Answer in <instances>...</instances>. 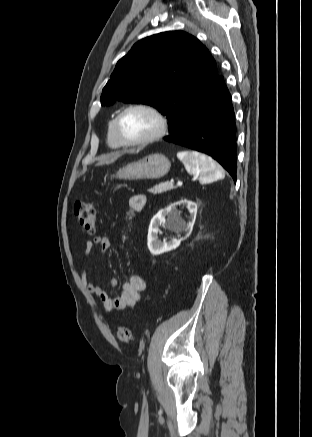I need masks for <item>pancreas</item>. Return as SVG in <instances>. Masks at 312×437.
Listing matches in <instances>:
<instances>
[{"label": "pancreas", "instance_id": "1", "mask_svg": "<svg viewBox=\"0 0 312 437\" xmlns=\"http://www.w3.org/2000/svg\"><path fill=\"white\" fill-rule=\"evenodd\" d=\"M174 188H175V186L172 183L165 182V183H161L159 185H156L153 188H150L148 191L150 193H153V194H160V193H163V192L170 191V190H172Z\"/></svg>", "mask_w": 312, "mask_h": 437}]
</instances>
